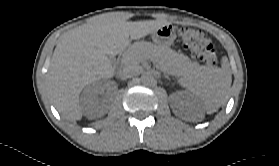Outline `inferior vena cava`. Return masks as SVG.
Returning a JSON list of instances; mask_svg holds the SVG:
<instances>
[{
    "label": "inferior vena cava",
    "mask_w": 279,
    "mask_h": 166,
    "mask_svg": "<svg viewBox=\"0 0 279 166\" xmlns=\"http://www.w3.org/2000/svg\"><path fill=\"white\" fill-rule=\"evenodd\" d=\"M135 74V69L124 67L122 70L119 71L118 76L121 80H126L128 78L133 77Z\"/></svg>",
    "instance_id": "602c4592"
}]
</instances>
